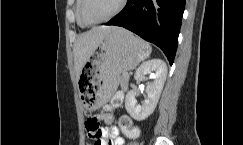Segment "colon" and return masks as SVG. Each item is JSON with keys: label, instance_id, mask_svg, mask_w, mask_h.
I'll use <instances>...</instances> for the list:
<instances>
[{"label": "colon", "instance_id": "1", "mask_svg": "<svg viewBox=\"0 0 243 145\" xmlns=\"http://www.w3.org/2000/svg\"><path fill=\"white\" fill-rule=\"evenodd\" d=\"M122 103V96L117 94L113 97L111 104L106 107L107 111L112 110L114 107L120 106ZM119 126L121 130L129 137L136 138L139 135V130L132 123V120L128 116H122L119 120ZM87 133L98 138L100 135L99 119L96 116H92L87 119L85 123Z\"/></svg>", "mask_w": 243, "mask_h": 145}]
</instances>
